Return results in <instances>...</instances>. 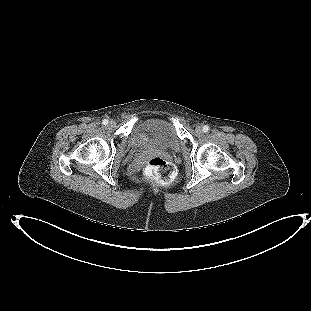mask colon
Here are the masks:
<instances>
[{
    "label": "colon",
    "instance_id": "5ec220e1",
    "mask_svg": "<svg viewBox=\"0 0 311 311\" xmlns=\"http://www.w3.org/2000/svg\"><path fill=\"white\" fill-rule=\"evenodd\" d=\"M145 172L149 179L161 185L171 184L176 177L173 165L159 156L148 161Z\"/></svg>",
    "mask_w": 311,
    "mask_h": 311
}]
</instances>
